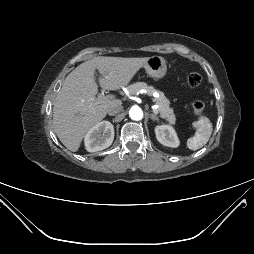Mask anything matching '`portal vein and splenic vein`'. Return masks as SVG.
I'll return each mask as SVG.
<instances>
[{"label": "portal vein and splenic vein", "mask_w": 254, "mask_h": 254, "mask_svg": "<svg viewBox=\"0 0 254 254\" xmlns=\"http://www.w3.org/2000/svg\"><path fill=\"white\" fill-rule=\"evenodd\" d=\"M110 98H112V96L104 95L103 93H100V94H98L95 101H96V104H101V103H105V102L109 101ZM157 109H158V105H154L153 106V111L156 114L158 113Z\"/></svg>", "instance_id": "18ae733b"}]
</instances>
